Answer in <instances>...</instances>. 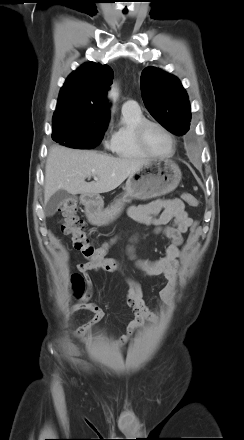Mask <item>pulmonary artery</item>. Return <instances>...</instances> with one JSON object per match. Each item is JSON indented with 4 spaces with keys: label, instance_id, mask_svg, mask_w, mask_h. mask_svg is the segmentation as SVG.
Listing matches in <instances>:
<instances>
[{
    "label": "pulmonary artery",
    "instance_id": "obj_1",
    "mask_svg": "<svg viewBox=\"0 0 244 440\" xmlns=\"http://www.w3.org/2000/svg\"><path fill=\"white\" fill-rule=\"evenodd\" d=\"M139 109V106L134 100H127L122 105V110L124 111H136Z\"/></svg>",
    "mask_w": 244,
    "mask_h": 440
}]
</instances>
